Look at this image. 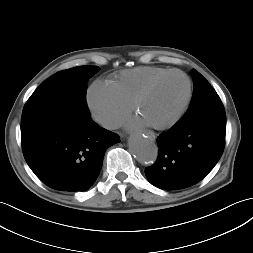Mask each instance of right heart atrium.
<instances>
[{"label": "right heart atrium", "mask_w": 253, "mask_h": 253, "mask_svg": "<svg viewBox=\"0 0 253 253\" xmlns=\"http://www.w3.org/2000/svg\"><path fill=\"white\" fill-rule=\"evenodd\" d=\"M86 102L94 119L110 129L117 127L130 112V106L109 82L103 80H96L90 85Z\"/></svg>", "instance_id": "obj_1"}]
</instances>
